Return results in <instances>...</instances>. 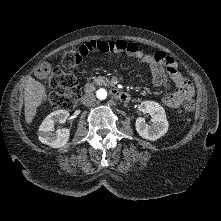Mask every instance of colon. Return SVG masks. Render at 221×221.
Here are the masks:
<instances>
[{"instance_id":"1","label":"colon","mask_w":221,"mask_h":221,"mask_svg":"<svg viewBox=\"0 0 221 221\" xmlns=\"http://www.w3.org/2000/svg\"><path fill=\"white\" fill-rule=\"evenodd\" d=\"M83 55L79 51L71 50L64 54L62 66L65 69L77 67L83 60ZM47 84L57 91H52L46 96V102L56 109H71L81 97V89L77 77L62 69L52 68L48 71ZM194 109L192 99H187L183 103V111L189 114Z\"/></svg>"}]
</instances>
